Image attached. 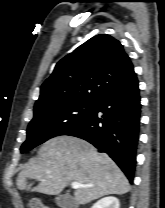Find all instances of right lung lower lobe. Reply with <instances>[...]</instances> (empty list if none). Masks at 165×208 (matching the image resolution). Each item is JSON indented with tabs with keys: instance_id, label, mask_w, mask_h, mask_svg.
Wrapping results in <instances>:
<instances>
[{
	"instance_id": "right-lung-lower-lobe-1",
	"label": "right lung lower lobe",
	"mask_w": 165,
	"mask_h": 208,
	"mask_svg": "<svg viewBox=\"0 0 165 208\" xmlns=\"http://www.w3.org/2000/svg\"><path fill=\"white\" fill-rule=\"evenodd\" d=\"M140 95L134 74L121 86L107 92L91 115L66 135L82 138L107 153L133 182L140 128Z\"/></svg>"
}]
</instances>
